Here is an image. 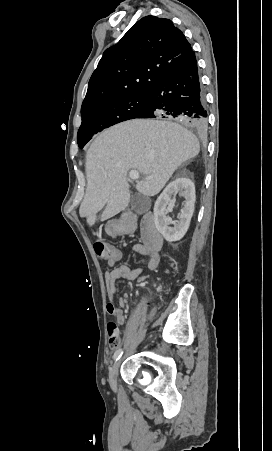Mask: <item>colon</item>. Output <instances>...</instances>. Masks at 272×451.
I'll return each mask as SVG.
<instances>
[{
  "label": "colon",
  "mask_w": 272,
  "mask_h": 451,
  "mask_svg": "<svg viewBox=\"0 0 272 451\" xmlns=\"http://www.w3.org/2000/svg\"><path fill=\"white\" fill-rule=\"evenodd\" d=\"M94 249L98 256H119L121 254V249L119 247H110L108 244L101 240H96L94 242ZM106 331L108 336V342L110 346L117 347L119 346L118 337H119V328L118 324L115 321H109L106 325Z\"/></svg>",
  "instance_id": "5ec220e1"
}]
</instances>
